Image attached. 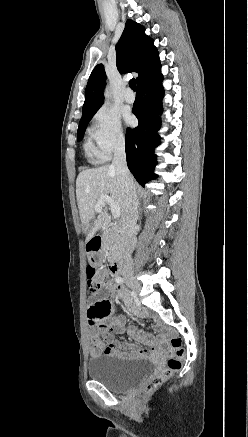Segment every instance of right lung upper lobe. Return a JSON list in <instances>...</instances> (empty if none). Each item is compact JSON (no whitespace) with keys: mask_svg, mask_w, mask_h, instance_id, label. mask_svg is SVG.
Masks as SVG:
<instances>
[{"mask_svg":"<svg viewBox=\"0 0 248 437\" xmlns=\"http://www.w3.org/2000/svg\"><path fill=\"white\" fill-rule=\"evenodd\" d=\"M160 64L153 40L138 23L128 20L116 45V65L121 74L137 72V83ZM106 74L102 64L92 71L85 90L82 118L93 116L103 103ZM80 120V121H81Z\"/></svg>","mask_w":248,"mask_h":437,"instance_id":"1","label":"right lung upper lobe"}]
</instances>
